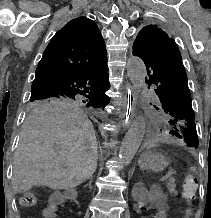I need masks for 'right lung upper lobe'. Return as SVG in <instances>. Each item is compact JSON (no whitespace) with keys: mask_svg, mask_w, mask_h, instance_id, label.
<instances>
[{"mask_svg":"<svg viewBox=\"0 0 211 218\" xmlns=\"http://www.w3.org/2000/svg\"><path fill=\"white\" fill-rule=\"evenodd\" d=\"M107 59L105 43L97 25L89 18L69 21L51 39L40 60L33 92L61 78L76 75ZM45 97H36L40 99Z\"/></svg>","mask_w":211,"mask_h":218,"instance_id":"1","label":"right lung upper lobe"}]
</instances>
